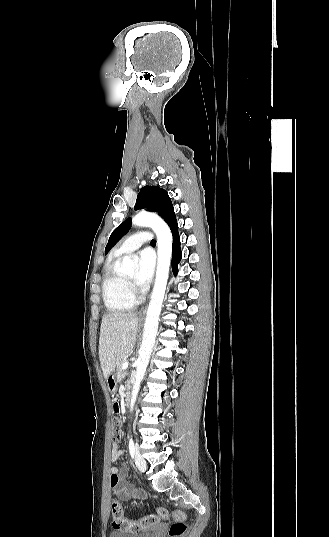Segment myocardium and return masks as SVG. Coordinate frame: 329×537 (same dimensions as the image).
I'll return each mask as SVG.
<instances>
[{
  "instance_id": "1",
  "label": "myocardium",
  "mask_w": 329,
  "mask_h": 537,
  "mask_svg": "<svg viewBox=\"0 0 329 537\" xmlns=\"http://www.w3.org/2000/svg\"><path fill=\"white\" fill-rule=\"evenodd\" d=\"M123 278H124V281H125V283H126V285H127L128 290H129V292H130L131 289H132V283H131V281H130L128 278H126V277H123Z\"/></svg>"
}]
</instances>
